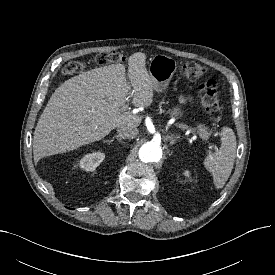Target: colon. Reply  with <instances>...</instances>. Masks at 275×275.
Masks as SVG:
<instances>
[{
	"mask_svg": "<svg viewBox=\"0 0 275 275\" xmlns=\"http://www.w3.org/2000/svg\"><path fill=\"white\" fill-rule=\"evenodd\" d=\"M124 57L117 51H104L98 53L93 61L99 66H105L120 62ZM85 67V63L79 60L68 62L62 69L65 76L79 74ZM182 75L185 79L192 82H199L198 90L202 106L208 113H216L220 110L221 103L218 96V83L215 79L203 80L207 68L197 62H186L182 66Z\"/></svg>",
	"mask_w": 275,
	"mask_h": 275,
	"instance_id": "5ec220e1",
	"label": "colon"
}]
</instances>
